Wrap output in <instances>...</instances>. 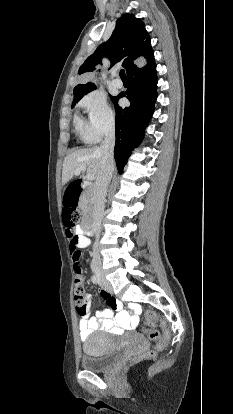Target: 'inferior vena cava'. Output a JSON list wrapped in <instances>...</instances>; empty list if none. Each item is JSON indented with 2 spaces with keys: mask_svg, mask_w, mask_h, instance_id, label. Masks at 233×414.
<instances>
[{
  "mask_svg": "<svg viewBox=\"0 0 233 414\" xmlns=\"http://www.w3.org/2000/svg\"><path fill=\"white\" fill-rule=\"evenodd\" d=\"M114 145H115V124L108 125L105 132V139L102 141L100 150L102 152V167L96 178L94 208H93V229L96 233L100 231L101 222L104 216L105 198L107 188L114 171ZM93 250V264H100L98 256V248L91 245Z\"/></svg>",
  "mask_w": 233,
  "mask_h": 414,
  "instance_id": "602c4592",
  "label": "inferior vena cava"
}]
</instances>
